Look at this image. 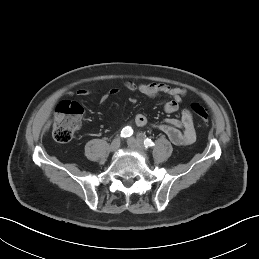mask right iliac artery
I'll list each match as a JSON object with an SVG mask.
<instances>
[{"mask_svg":"<svg viewBox=\"0 0 259 259\" xmlns=\"http://www.w3.org/2000/svg\"><path fill=\"white\" fill-rule=\"evenodd\" d=\"M132 134H133V130L129 126L124 127L121 131V137H124V138L129 137Z\"/></svg>","mask_w":259,"mask_h":259,"instance_id":"82829eb1","label":"right iliac artery"}]
</instances>
